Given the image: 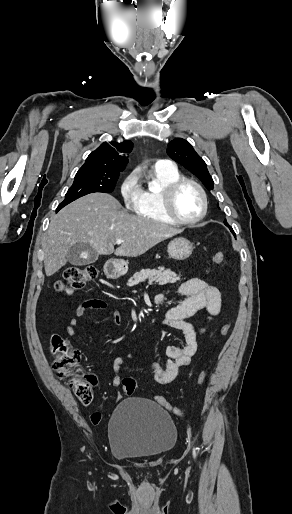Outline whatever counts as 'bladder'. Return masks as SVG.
<instances>
[{
  "label": "bladder",
  "instance_id": "1",
  "mask_svg": "<svg viewBox=\"0 0 292 514\" xmlns=\"http://www.w3.org/2000/svg\"><path fill=\"white\" fill-rule=\"evenodd\" d=\"M108 434L111 452L121 460L161 456L177 441L170 414L144 398H128L118 403L110 417Z\"/></svg>",
  "mask_w": 292,
  "mask_h": 514
}]
</instances>
